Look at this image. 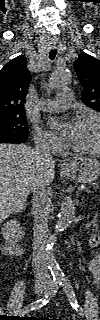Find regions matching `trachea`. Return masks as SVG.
Instances as JSON below:
<instances>
[{
    "instance_id": "1",
    "label": "trachea",
    "mask_w": 100,
    "mask_h": 320,
    "mask_svg": "<svg viewBox=\"0 0 100 320\" xmlns=\"http://www.w3.org/2000/svg\"><path fill=\"white\" fill-rule=\"evenodd\" d=\"M56 54H57V52H56L55 49H54V50H51L50 53H49V58H50L51 60H53V59L55 58Z\"/></svg>"
}]
</instances>
